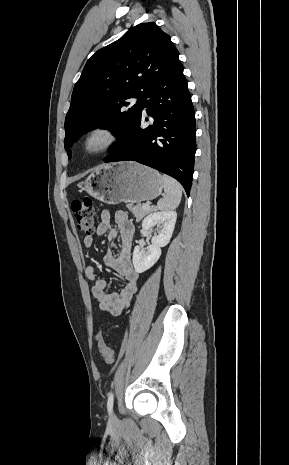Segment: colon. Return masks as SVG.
<instances>
[{
	"label": "colon",
	"mask_w": 289,
	"mask_h": 465,
	"mask_svg": "<svg viewBox=\"0 0 289 465\" xmlns=\"http://www.w3.org/2000/svg\"><path fill=\"white\" fill-rule=\"evenodd\" d=\"M71 207L78 229L86 234H91L95 228V208L92 199L88 196L76 198L72 201ZM96 340L104 361L112 363L114 352L105 344L102 331L98 332Z\"/></svg>",
	"instance_id": "1"
}]
</instances>
